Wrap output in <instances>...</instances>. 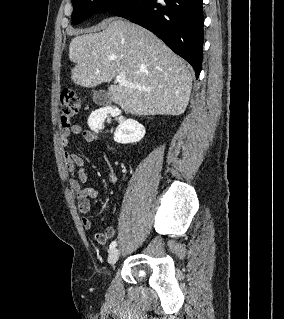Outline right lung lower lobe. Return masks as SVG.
Listing matches in <instances>:
<instances>
[{
    "mask_svg": "<svg viewBox=\"0 0 284 319\" xmlns=\"http://www.w3.org/2000/svg\"><path fill=\"white\" fill-rule=\"evenodd\" d=\"M110 14L143 26L187 60L198 78L202 65V0H131Z\"/></svg>",
    "mask_w": 284,
    "mask_h": 319,
    "instance_id": "98d812e1",
    "label": "right lung lower lobe"
}]
</instances>
